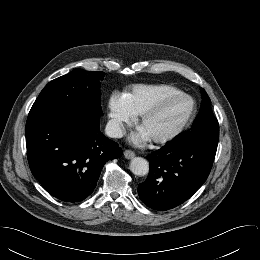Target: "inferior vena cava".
I'll use <instances>...</instances> for the list:
<instances>
[{
	"instance_id": "obj_1",
	"label": "inferior vena cava",
	"mask_w": 260,
	"mask_h": 260,
	"mask_svg": "<svg viewBox=\"0 0 260 260\" xmlns=\"http://www.w3.org/2000/svg\"><path fill=\"white\" fill-rule=\"evenodd\" d=\"M105 133L111 138H121L124 135L121 124L115 119L108 121L105 128Z\"/></svg>"
}]
</instances>
